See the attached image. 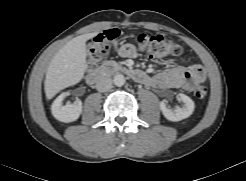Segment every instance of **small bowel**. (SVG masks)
<instances>
[{"mask_svg": "<svg viewBox=\"0 0 246 181\" xmlns=\"http://www.w3.org/2000/svg\"><path fill=\"white\" fill-rule=\"evenodd\" d=\"M123 58H133L136 55L135 48L130 44L122 45L118 51ZM182 65L168 64V69L155 75H147L144 83L148 86L165 90L170 88H183L191 91L193 88L205 80V73H200L192 69L188 59H182Z\"/></svg>", "mask_w": 246, "mask_h": 181, "instance_id": "small-bowel-1", "label": "small bowel"}]
</instances>
